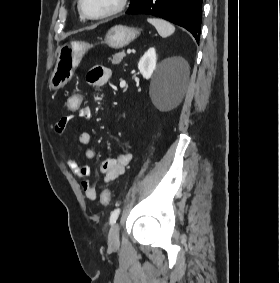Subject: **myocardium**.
I'll return each mask as SVG.
<instances>
[{
  "mask_svg": "<svg viewBox=\"0 0 280 283\" xmlns=\"http://www.w3.org/2000/svg\"><path fill=\"white\" fill-rule=\"evenodd\" d=\"M128 1L129 0H119L118 4L113 9L99 15H90L85 11L83 7V0H78V10L81 16L87 20H102L121 13L126 8Z\"/></svg>",
  "mask_w": 280,
  "mask_h": 283,
  "instance_id": "f54148a6",
  "label": "myocardium"
}]
</instances>
